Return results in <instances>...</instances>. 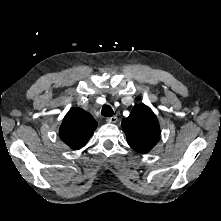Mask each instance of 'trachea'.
Instances as JSON below:
<instances>
[{"mask_svg":"<svg viewBox=\"0 0 221 221\" xmlns=\"http://www.w3.org/2000/svg\"><path fill=\"white\" fill-rule=\"evenodd\" d=\"M101 114H102V116H104V117H112L113 114H114V112H113V109H112L111 106L105 105V106H103V108H102Z\"/></svg>","mask_w":221,"mask_h":221,"instance_id":"1","label":"trachea"}]
</instances>
